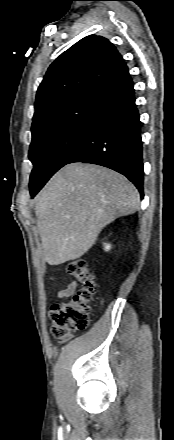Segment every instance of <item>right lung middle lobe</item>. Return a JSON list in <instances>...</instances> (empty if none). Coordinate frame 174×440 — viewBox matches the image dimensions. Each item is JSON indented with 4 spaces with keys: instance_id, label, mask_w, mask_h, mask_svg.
Listing matches in <instances>:
<instances>
[{
    "instance_id": "right-lung-middle-lobe-1",
    "label": "right lung middle lobe",
    "mask_w": 174,
    "mask_h": 440,
    "mask_svg": "<svg viewBox=\"0 0 174 440\" xmlns=\"http://www.w3.org/2000/svg\"><path fill=\"white\" fill-rule=\"evenodd\" d=\"M96 99V94L82 96L32 124L30 191L45 184L75 154L90 125Z\"/></svg>"
}]
</instances>
